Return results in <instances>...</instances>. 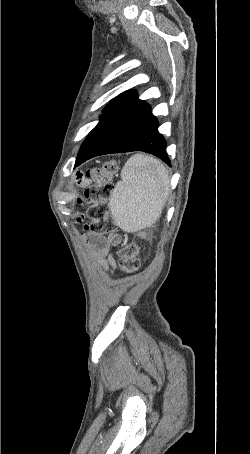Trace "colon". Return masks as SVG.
Returning <instances> with one entry per match:
<instances>
[{"instance_id": "5ec220e1", "label": "colon", "mask_w": 250, "mask_h": 454, "mask_svg": "<svg viewBox=\"0 0 250 454\" xmlns=\"http://www.w3.org/2000/svg\"><path fill=\"white\" fill-rule=\"evenodd\" d=\"M117 171V161L109 160L100 167L88 168L85 173L87 178L94 181V185L86 191V197L92 202L88 210V217L91 220L88 228L92 233L104 234L115 228L108 201L113 191L112 177ZM118 259L124 273L136 272L140 267L137 245L122 244L118 250Z\"/></svg>"}]
</instances>
